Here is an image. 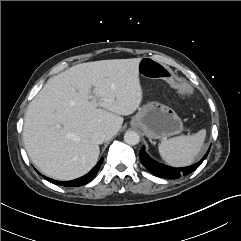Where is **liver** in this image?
Wrapping results in <instances>:
<instances>
[{
  "instance_id": "liver-1",
  "label": "liver",
  "mask_w": 241,
  "mask_h": 241,
  "mask_svg": "<svg viewBox=\"0 0 241 241\" xmlns=\"http://www.w3.org/2000/svg\"><path fill=\"white\" fill-rule=\"evenodd\" d=\"M140 60L82 63L48 80L29 104L23 127L28 156L43 174L73 180L94 167L100 148L92 133L100 130L112 138L122 116L142 102Z\"/></svg>"
}]
</instances>
